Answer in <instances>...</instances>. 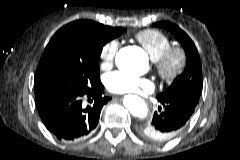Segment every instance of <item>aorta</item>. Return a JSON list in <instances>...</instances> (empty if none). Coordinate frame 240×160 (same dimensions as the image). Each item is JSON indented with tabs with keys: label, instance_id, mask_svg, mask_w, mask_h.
Returning a JSON list of instances; mask_svg holds the SVG:
<instances>
[{
	"label": "aorta",
	"instance_id": "762f6f07",
	"mask_svg": "<svg viewBox=\"0 0 240 160\" xmlns=\"http://www.w3.org/2000/svg\"><path fill=\"white\" fill-rule=\"evenodd\" d=\"M116 64L119 68L127 67L130 70L141 71L147 65V57L141 49L137 47H127L117 53ZM123 104L134 116L146 118L148 115L145 102L136 95L125 96Z\"/></svg>",
	"mask_w": 240,
	"mask_h": 160
}]
</instances>
